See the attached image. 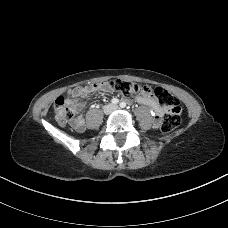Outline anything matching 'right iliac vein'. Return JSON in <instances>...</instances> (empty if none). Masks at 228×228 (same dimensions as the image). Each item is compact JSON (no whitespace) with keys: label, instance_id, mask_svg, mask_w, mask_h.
Here are the masks:
<instances>
[{"label":"right iliac vein","instance_id":"63e3f726","mask_svg":"<svg viewBox=\"0 0 228 228\" xmlns=\"http://www.w3.org/2000/svg\"><path fill=\"white\" fill-rule=\"evenodd\" d=\"M112 110V106L111 105H107L104 107V113L105 114H109Z\"/></svg>","mask_w":228,"mask_h":228}]
</instances>
